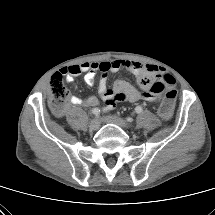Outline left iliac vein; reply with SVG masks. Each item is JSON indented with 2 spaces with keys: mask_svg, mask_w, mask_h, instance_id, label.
I'll use <instances>...</instances> for the list:
<instances>
[{
  "mask_svg": "<svg viewBox=\"0 0 215 215\" xmlns=\"http://www.w3.org/2000/svg\"><path fill=\"white\" fill-rule=\"evenodd\" d=\"M102 121L105 123L115 124L124 129L129 127V124L125 120L117 116H104L102 117Z\"/></svg>",
  "mask_w": 215,
  "mask_h": 215,
  "instance_id": "obj_1",
  "label": "left iliac vein"
}]
</instances>
